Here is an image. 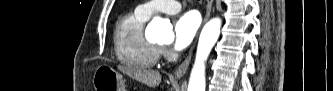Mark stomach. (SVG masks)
Wrapping results in <instances>:
<instances>
[{
	"label": "stomach",
	"mask_w": 333,
	"mask_h": 91,
	"mask_svg": "<svg viewBox=\"0 0 333 91\" xmlns=\"http://www.w3.org/2000/svg\"><path fill=\"white\" fill-rule=\"evenodd\" d=\"M93 86L95 91H126L123 76L108 65L96 69Z\"/></svg>",
	"instance_id": "0dacf381"
}]
</instances>
